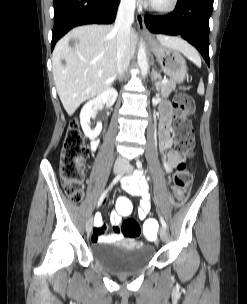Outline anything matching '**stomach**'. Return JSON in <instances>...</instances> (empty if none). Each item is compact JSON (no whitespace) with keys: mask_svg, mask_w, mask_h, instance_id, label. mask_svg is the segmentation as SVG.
<instances>
[{"mask_svg":"<svg viewBox=\"0 0 247 304\" xmlns=\"http://www.w3.org/2000/svg\"><path fill=\"white\" fill-rule=\"evenodd\" d=\"M151 48L163 71L174 82L181 83L187 75V65L179 51L164 47L161 43L152 41Z\"/></svg>","mask_w":247,"mask_h":304,"instance_id":"0dacf381","label":"stomach"}]
</instances>
